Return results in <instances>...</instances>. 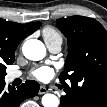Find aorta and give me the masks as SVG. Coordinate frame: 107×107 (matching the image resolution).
Masks as SVG:
<instances>
[{"mask_svg": "<svg viewBox=\"0 0 107 107\" xmlns=\"http://www.w3.org/2000/svg\"><path fill=\"white\" fill-rule=\"evenodd\" d=\"M22 51L24 56L32 61H38L46 55V48L44 44L37 39H29L24 42ZM42 105L44 107H58L59 99L54 94H45L42 97Z\"/></svg>", "mask_w": 107, "mask_h": 107, "instance_id": "762f6f07", "label": "aorta"}]
</instances>
